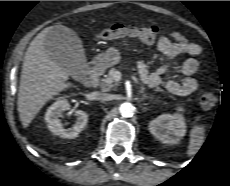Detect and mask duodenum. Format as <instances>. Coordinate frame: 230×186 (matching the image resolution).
<instances>
[{"label": "duodenum", "mask_w": 230, "mask_h": 186, "mask_svg": "<svg viewBox=\"0 0 230 186\" xmlns=\"http://www.w3.org/2000/svg\"><path fill=\"white\" fill-rule=\"evenodd\" d=\"M103 72V66L101 63L95 62L88 67V76L90 78L91 87L95 89L100 80V76Z\"/></svg>", "instance_id": "410a0bca"}]
</instances>
